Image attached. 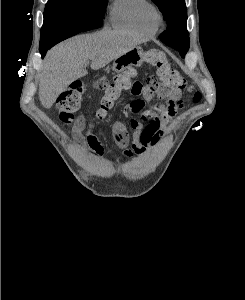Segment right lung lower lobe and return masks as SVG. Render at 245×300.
Listing matches in <instances>:
<instances>
[{
	"mask_svg": "<svg viewBox=\"0 0 245 300\" xmlns=\"http://www.w3.org/2000/svg\"><path fill=\"white\" fill-rule=\"evenodd\" d=\"M101 25H102V21L101 22H90V23L84 25L83 30L88 31L91 29L99 28ZM51 47L52 46H41L39 48L42 58L45 56L47 50L50 49Z\"/></svg>",
	"mask_w": 245,
	"mask_h": 300,
	"instance_id": "obj_1",
	"label": "right lung lower lobe"
}]
</instances>
